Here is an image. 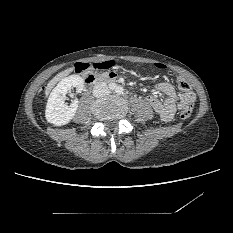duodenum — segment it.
<instances>
[{
    "instance_id": "obj_1",
    "label": "duodenum",
    "mask_w": 233,
    "mask_h": 233,
    "mask_svg": "<svg viewBox=\"0 0 233 233\" xmlns=\"http://www.w3.org/2000/svg\"><path fill=\"white\" fill-rule=\"evenodd\" d=\"M85 81L88 84L92 85L97 82H112L114 81V79L108 74H103V75L93 74L90 79L86 78Z\"/></svg>"
}]
</instances>
